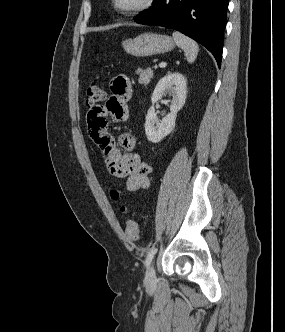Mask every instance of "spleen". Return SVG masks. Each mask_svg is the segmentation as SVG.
<instances>
[{
  "instance_id": "1",
  "label": "spleen",
  "mask_w": 285,
  "mask_h": 332,
  "mask_svg": "<svg viewBox=\"0 0 285 332\" xmlns=\"http://www.w3.org/2000/svg\"><path fill=\"white\" fill-rule=\"evenodd\" d=\"M172 35L177 46L184 50L187 61L194 62L199 52L198 44L180 32L175 31Z\"/></svg>"
}]
</instances>
